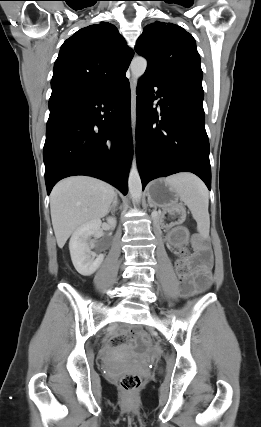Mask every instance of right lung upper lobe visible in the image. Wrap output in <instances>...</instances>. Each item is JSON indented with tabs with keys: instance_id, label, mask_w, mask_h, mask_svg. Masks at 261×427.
Returning <instances> with one entry per match:
<instances>
[{
	"instance_id": "1",
	"label": "right lung upper lobe",
	"mask_w": 261,
	"mask_h": 427,
	"mask_svg": "<svg viewBox=\"0 0 261 427\" xmlns=\"http://www.w3.org/2000/svg\"><path fill=\"white\" fill-rule=\"evenodd\" d=\"M133 57L108 22L78 30L61 46L54 64L49 109L97 95L122 81Z\"/></svg>"
}]
</instances>
